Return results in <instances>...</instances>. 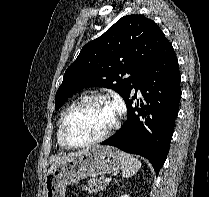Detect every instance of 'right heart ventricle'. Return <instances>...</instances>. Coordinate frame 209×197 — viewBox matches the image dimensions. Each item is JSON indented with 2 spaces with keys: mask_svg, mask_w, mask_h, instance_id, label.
Wrapping results in <instances>:
<instances>
[{
  "mask_svg": "<svg viewBox=\"0 0 209 197\" xmlns=\"http://www.w3.org/2000/svg\"><path fill=\"white\" fill-rule=\"evenodd\" d=\"M75 104V101L69 103L61 112L60 117L58 119L57 123V142L61 148H66V146L62 143L61 136H60V128H61V122L63 119V116L65 113Z\"/></svg>",
  "mask_w": 209,
  "mask_h": 197,
  "instance_id": "obj_1",
  "label": "right heart ventricle"
}]
</instances>
